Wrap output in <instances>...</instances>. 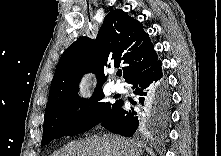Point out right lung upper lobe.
Instances as JSON below:
<instances>
[{
	"label": "right lung upper lobe",
	"instance_id": "cb5924a9",
	"mask_svg": "<svg viewBox=\"0 0 221 156\" xmlns=\"http://www.w3.org/2000/svg\"><path fill=\"white\" fill-rule=\"evenodd\" d=\"M156 61L157 53L140 22L121 9L113 10L105 17L95 40L80 37L63 52L46 108L63 96L78 91L81 77L87 72L96 74V89H102L107 80L104 67L124 64L123 78L127 82Z\"/></svg>",
	"mask_w": 221,
	"mask_h": 156
}]
</instances>
